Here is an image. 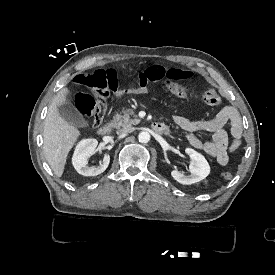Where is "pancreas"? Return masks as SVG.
I'll return each instance as SVG.
<instances>
[{"label":"pancreas","instance_id":"pancreas-1","mask_svg":"<svg viewBox=\"0 0 275 275\" xmlns=\"http://www.w3.org/2000/svg\"><path fill=\"white\" fill-rule=\"evenodd\" d=\"M140 119L134 113L133 110L127 109L122 110L120 113H117L112 120L113 127L119 129L120 127L126 128L131 127L132 125H137L140 123Z\"/></svg>","mask_w":275,"mask_h":275}]
</instances>
